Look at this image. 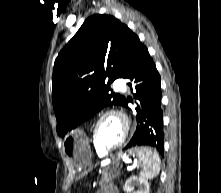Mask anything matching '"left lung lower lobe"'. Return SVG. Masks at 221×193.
I'll return each mask as SVG.
<instances>
[{"label": "left lung lower lobe", "instance_id": "0a47b994", "mask_svg": "<svg viewBox=\"0 0 221 193\" xmlns=\"http://www.w3.org/2000/svg\"><path fill=\"white\" fill-rule=\"evenodd\" d=\"M124 79L131 91L135 90L134 97L141 101L137 111V128L125 149L147 145L156 148L164 154L163 112L161 109V78L156 66L145 45L141 42L136 47L124 73ZM128 102L126 99L125 107Z\"/></svg>", "mask_w": 221, "mask_h": 193}]
</instances>
